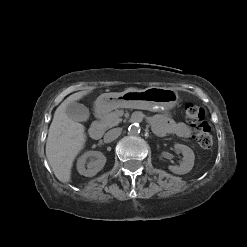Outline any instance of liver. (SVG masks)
Returning a JSON list of instances; mask_svg holds the SVG:
<instances>
[{
    "instance_id": "obj_1",
    "label": "liver",
    "mask_w": 247,
    "mask_h": 247,
    "mask_svg": "<svg viewBox=\"0 0 247 247\" xmlns=\"http://www.w3.org/2000/svg\"><path fill=\"white\" fill-rule=\"evenodd\" d=\"M137 90L139 89L130 87L124 92ZM89 92L80 91L65 99L56 109L49 128L46 156L55 176L63 183L71 180L73 162L86 142L84 125L70 119L66 114V107L69 103L80 100Z\"/></svg>"
}]
</instances>
